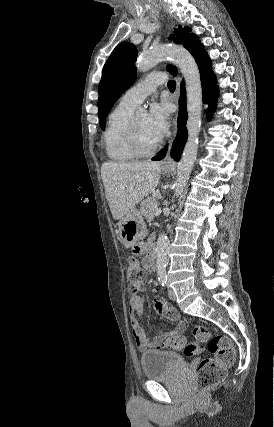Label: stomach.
Segmentation results:
<instances>
[{
    "instance_id": "stomach-1",
    "label": "stomach",
    "mask_w": 274,
    "mask_h": 427,
    "mask_svg": "<svg viewBox=\"0 0 274 427\" xmlns=\"http://www.w3.org/2000/svg\"><path fill=\"white\" fill-rule=\"evenodd\" d=\"M167 174H169V172H167ZM117 225L119 239L125 247L135 245V243L143 239L147 233L146 223L138 210L128 212L122 219H119Z\"/></svg>"
}]
</instances>
